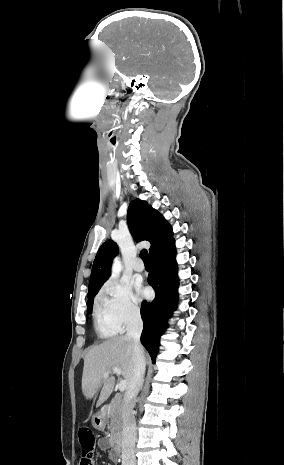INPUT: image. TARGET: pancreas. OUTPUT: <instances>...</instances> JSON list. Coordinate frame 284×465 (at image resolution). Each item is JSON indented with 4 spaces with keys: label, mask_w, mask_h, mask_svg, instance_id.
I'll list each match as a JSON object with an SVG mask.
<instances>
[{
    "label": "pancreas",
    "mask_w": 284,
    "mask_h": 465,
    "mask_svg": "<svg viewBox=\"0 0 284 465\" xmlns=\"http://www.w3.org/2000/svg\"><path fill=\"white\" fill-rule=\"evenodd\" d=\"M121 411V399L120 397H115V399H112L107 411V417L110 419L109 429L111 433V441H115L118 435H120L122 425Z\"/></svg>",
    "instance_id": "pancreas-1"
}]
</instances>
